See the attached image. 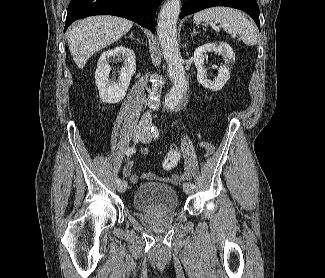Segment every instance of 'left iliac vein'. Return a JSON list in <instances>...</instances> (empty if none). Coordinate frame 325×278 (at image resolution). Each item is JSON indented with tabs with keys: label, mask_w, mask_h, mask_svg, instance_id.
<instances>
[{
	"label": "left iliac vein",
	"mask_w": 325,
	"mask_h": 278,
	"mask_svg": "<svg viewBox=\"0 0 325 278\" xmlns=\"http://www.w3.org/2000/svg\"><path fill=\"white\" fill-rule=\"evenodd\" d=\"M142 143H149L151 141V134L149 130L145 131L144 136L140 139ZM183 190L186 194L191 195L194 192V189L188 184L183 183Z\"/></svg>",
	"instance_id": "obj_1"
}]
</instances>
